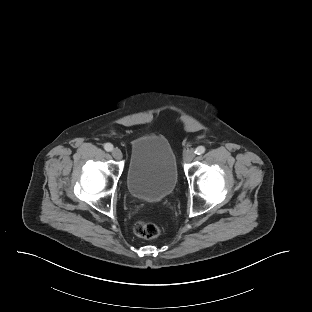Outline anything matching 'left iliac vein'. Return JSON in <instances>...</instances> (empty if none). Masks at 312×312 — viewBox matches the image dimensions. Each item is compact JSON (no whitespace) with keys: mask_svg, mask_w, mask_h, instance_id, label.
<instances>
[{"mask_svg":"<svg viewBox=\"0 0 312 312\" xmlns=\"http://www.w3.org/2000/svg\"><path fill=\"white\" fill-rule=\"evenodd\" d=\"M195 157V151L193 149L187 150L183 155V160L186 163L191 162Z\"/></svg>","mask_w":312,"mask_h":312,"instance_id":"obj_1","label":"left iliac vein"}]
</instances>
